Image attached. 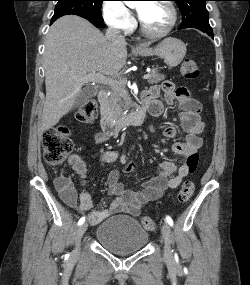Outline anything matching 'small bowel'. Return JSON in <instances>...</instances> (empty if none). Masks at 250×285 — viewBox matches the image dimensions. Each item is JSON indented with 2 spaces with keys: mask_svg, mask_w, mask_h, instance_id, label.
Returning a JSON list of instances; mask_svg holds the SVG:
<instances>
[{
  "mask_svg": "<svg viewBox=\"0 0 250 285\" xmlns=\"http://www.w3.org/2000/svg\"><path fill=\"white\" fill-rule=\"evenodd\" d=\"M142 99L150 114L155 117L162 115L165 105H172L175 101L179 102L181 107L180 122L186 138L183 142L173 143L171 149L183 161L179 165L172 160L162 161L159 163V175L144 180L139 190L124 189L119 181V171H111L107 176V184L109 193L114 198L108 209L93 211L88 215L91 225H96L115 213L138 216L146 203L158 199L165 190L175 189L182 183L189 173L186 163L188 157L202 146L201 133L204 123L200 117L201 105L190 96L187 88L176 89L171 82H163L144 92ZM163 134L168 138H174L177 130L174 126H168L163 130ZM110 137L111 135L104 132H98L94 136V141L97 145H101L106 143ZM118 155L116 150H103L99 153V159L101 162H113L118 159ZM69 162L73 170L83 179L82 184L84 185L87 172L85 162L78 155L71 156ZM135 169L134 163H127L123 171L132 173ZM56 189L62 200L78 213L83 214L93 208L91 195L86 190H82L78 195L69 180H57Z\"/></svg>",
  "mask_w": 250,
  "mask_h": 285,
  "instance_id": "1",
  "label": "small bowel"
}]
</instances>
